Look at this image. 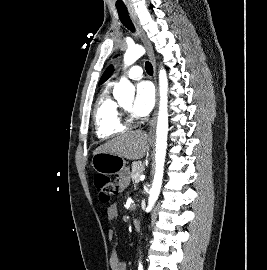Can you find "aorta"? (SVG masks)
I'll list each match as a JSON object with an SVG mask.
<instances>
[{
    "mask_svg": "<svg viewBox=\"0 0 267 270\" xmlns=\"http://www.w3.org/2000/svg\"><path fill=\"white\" fill-rule=\"evenodd\" d=\"M145 54V49L140 45L128 47L124 54V63L126 66L132 65L136 60ZM159 113L156 128V150H155V175L152 187L149 192L147 210H151L157 201L164 172L165 155L167 148L168 135V79L165 69L159 71ZM135 93V88L132 83L125 77L121 78L120 82L115 85L113 94L117 100L132 98Z\"/></svg>",
    "mask_w": 267,
    "mask_h": 270,
    "instance_id": "obj_1",
    "label": "aorta"
}]
</instances>
